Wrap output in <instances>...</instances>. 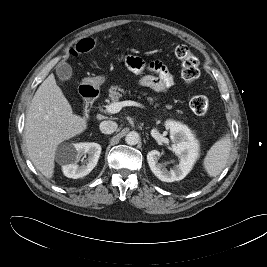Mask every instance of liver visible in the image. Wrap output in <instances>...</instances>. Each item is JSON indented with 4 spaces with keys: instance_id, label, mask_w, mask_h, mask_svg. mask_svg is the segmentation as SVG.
<instances>
[{
    "instance_id": "1",
    "label": "liver",
    "mask_w": 267,
    "mask_h": 267,
    "mask_svg": "<svg viewBox=\"0 0 267 267\" xmlns=\"http://www.w3.org/2000/svg\"><path fill=\"white\" fill-rule=\"evenodd\" d=\"M86 129V119L73 113L50 74L37 89L26 114L25 142L35 168L46 178H52L58 145Z\"/></svg>"
}]
</instances>
